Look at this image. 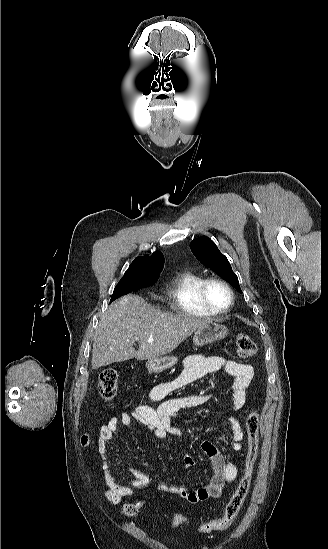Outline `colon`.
<instances>
[{"label":"colon","mask_w":328,"mask_h":549,"mask_svg":"<svg viewBox=\"0 0 328 549\" xmlns=\"http://www.w3.org/2000/svg\"><path fill=\"white\" fill-rule=\"evenodd\" d=\"M237 356L241 359L252 357L257 350L256 344L248 335H239L235 341ZM119 378L113 369H106L101 372L98 382V391L105 400H112L118 391ZM247 451L245 456L244 472L240 478L236 490L228 500L221 516L199 524L198 530L201 533H209L216 530H223L229 527L240 513L247 495L249 493L253 471L259 452V414L257 410L252 411L246 421ZM82 444H88V437H82ZM147 502L142 497L125 503L122 513L126 517H132L145 508ZM174 527H184L188 520L182 514L176 513L173 516Z\"/></svg>","instance_id":"colon-1"}]
</instances>
